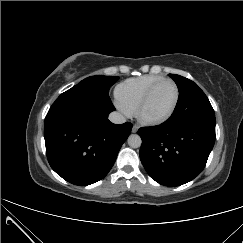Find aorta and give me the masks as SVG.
Here are the masks:
<instances>
[{
    "label": "aorta",
    "mask_w": 243,
    "mask_h": 243,
    "mask_svg": "<svg viewBox=\"0 0 243 243\" xmlns=\"http://www.w3.org/2000/svg\"><path fill=\"white\" fill-rule=\"evenodd\" d=\"M127 141L131 148H139L142 144L141 137L137 134H131Z\"/></svg>",
    "instance_id": "762f6f07"
}]
</instances>
